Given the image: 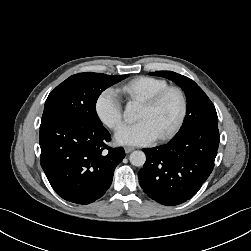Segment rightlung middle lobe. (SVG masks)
Listing matches in <instances>:
<instances>
[{
    "mask_svg": "<svg viewBox=\"0 0 251 251\" xmlns=\"http://www.w3.org/2000/svg\"><path fill=\"white\" fill-rule=\"evenodd\" d=\"M126 77L128 75L116 76L89 72L70 76L49 94L42 121L59 116H71L102 125L96 113L97 99L105 89Z\"/></svg>",
    "mask_w": 251,
    "mask_h": 251,
    "instance_id": "dd1d6c3e",
    "label": "right lung middle lobe"
}]
</instances>
